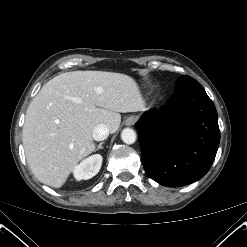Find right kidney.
<instances>
[{
	"instance_id": "ca27d5eb",
	"label": "right kidney",
	"mask_w": 247,
	"mask_h": 247,
	"mask_svg": "<svg viewBox=\"0 0 247 247\" xmlns=\"http://www.w3.org/2000/svg\"><path fill=\"white\" fill-rule=\"evenodd\" d=\"M102 165V156L94 154L84 159L80 164L76 165L73 174L76 180H87L95 176Z\"/></svg>"
}]
</instances>
